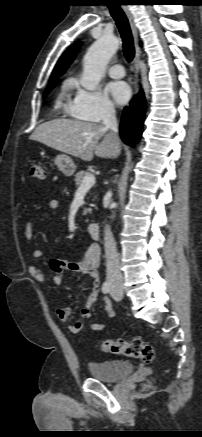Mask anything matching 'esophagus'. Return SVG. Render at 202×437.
<instances>
[{
  "label": "esophagus",
  "mask_w": 202,
  "mask_h": 437,
  "mask_svg": "<svg viewBox=\"0 0 202 437\" xmlns=\"http://www.w3.org/2000/svg\"><path fill=\"white\" fill-rule=\"evenodd\" d=\"M122 8H123V11L125 12V14L128 18V21H129V24H130V27L132 30V34L134 37V41H135L136 56H135V61H134V78H135V83H137L138 75H139V59H140V54H141L140 47L138 45V31H137L136 24L134 22L133 15H132L131 11L129 10V8L127 6H123ZM137 89H138V87L136 84V90Z\"/></svg>",
  "instance_id": "34e87169"
}]
</instances>
